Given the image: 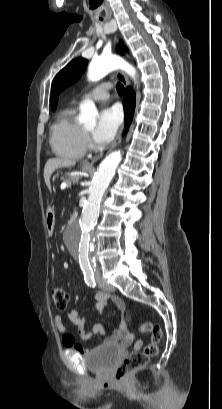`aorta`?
<instances>
[{
    "label": "aorta",
    "instance_id": "1",
    "mask_svg": "<svg viewBox=\"0 0 222 409\" xmlns=\"http://www.w3.org/2000/svg\"><path fill=\"white\" fill-rule=\"evenodd\" d=\"M118 68L125 70L131 76L135 75L134 68L121 58L103 55L90 63L88 78L91 81H98ZM96 116L97 110L92 101H87L81 105L80 119L85 124L94 125ZM120 161L121 152L115 151L100 163L81 218L69 231V247L78 256L80 265L85 269L90 266L92 260L94 227L98 218L99 206Z\"/></svg>",
    "mask_w": 222,
    "mask_h": 409
}]
</instances>
